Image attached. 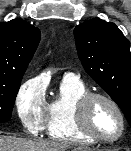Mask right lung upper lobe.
Segmentation results:
<instances>
[{"mask_svg": "<svg viewBox=\"0 0 131 151\" xmlns=\"http://www.w3.org/2000/svg\"><path fill=\"white\" fill-rule=\"evenodd\" d=\"M40 37V30L24 20L0 22V76H23Z\"/></svg>", "mask_w": 131, "mask_h": 151, "instance_id": "cb5924a9", "label": "right lung upper lobe"}]
</instances>
